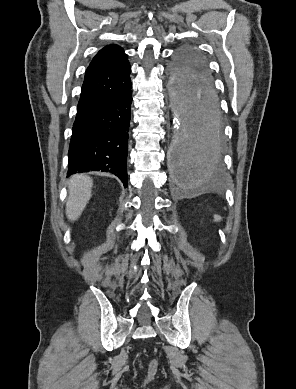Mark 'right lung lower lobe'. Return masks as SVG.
<instances>
[{
    "instance_id": "obj_1",
    "label": "right lung lower lobe",
    "mask_w": 296,
    "mask_h": 389,
    "mask_svg": "<svg viewBox=\"0 0 296 389\" xmlns=\"http://www.w3.org/2000/svg\"><path fill=\"white\" fill-rule=\"evenodd\" d=\"M131 88L130 83L114 96L77 108L68 152V176L106 171L127 187Z\"/></svg>"
}]
</instances>
